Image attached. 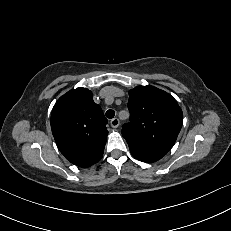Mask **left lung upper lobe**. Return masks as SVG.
Here are the masks:
<instances>
[{"mask_svg":"<svg viewBox=\"0 0 231 231\" xmlns=\"http://www.w3.org/2000/svg\"><path fill=\"white\" fill-rule=\"evenodd\" d=\"M130 122L122 135L132 154L151 160L161 159L173 146L180 132L183 114L176 100L153 86L129 91Z\"/></svg>","mask_w":231,"mask_h":231,"instance_id":"1","label":"left lung upper lobe"}]
</instances>
